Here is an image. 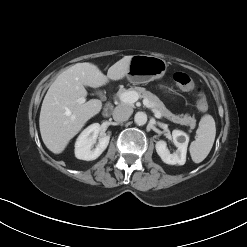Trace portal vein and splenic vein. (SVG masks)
Returning a JSON list of instances; mask_svg holds the SVG:
<instances>
[{"mask_svg": "<svg viewBox=\"0 0 247 247\" xmlns=\"http://www.w3.org/2000/svg\"><path fill=\"white\" fill-rule=\"evenodd\" d=\"M138 99H139V95L135 91H127V92H124L120 95V100L123 103L132 104V103H135L136 101H138ZM77 102L79 104H83L85 102V98H79L77 100ZM144 105L148 108L152 107L147 100H144ZM153 112H154L156 118H161L162 115L160 114L159 111H157L156 109H153Z\"/></svg>", "mask_w": 247, "mask_h": 247, "instance_id": "portal-vein-and-splenic-vein-1", "label": "portal vein and splenic vein"}]
</instances>
